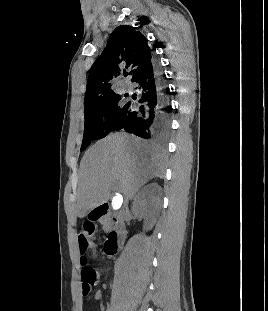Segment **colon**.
Returning <instances> with one entry per match:
<instances>
[{
    "label": "colon",
    "instance_id": "colon-1",
    "mask_svg": "<svg viewBox=\"0 0 268 311\" xmlns=\"http://www.w3.org/2000/svg\"><path fill=\"white\" fill-rule=\"evenodd\" d=\"M94 233L95 226L92 223H88L83 226L79 235L82 264L81 276L83 280V291L85 294H87L98 282V272L94 268L88 266V261L95 258L98 253V247L93 241Z\"/></svg>",
    "mask_w": 268,
    "mask_h": 311
}]
</instances>
